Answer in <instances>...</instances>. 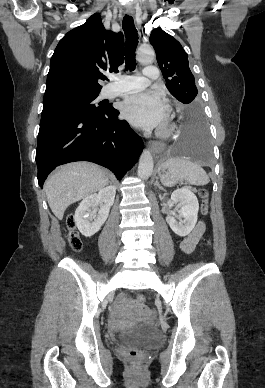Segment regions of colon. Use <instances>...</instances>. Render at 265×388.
<instances>
[{"label": "colon", "mask_w": 265, "mask_h": 388, "mask_svg": "<svg viewBox=\"0 0 265 388\" xmlns=\"http://www.w3.org/2000/svg\"><path fill=\"white\" fill-rule=\"evenodd\" d=\"M200 196L203 199V212H208V204H207V198H208V192L206 189H202L200 191ZM66 228L68 232V242L71 248L75 251H78L81 248V241L79 236L77 235L75 231V224L72 217H68L66 220ZM135 300L137 304L144 305L146 302V297L142 293H138L135 297ZM124 355L129 358L131 361L137 363L141 359V353L136 349H126L124 350Z\"/></svg>", "instance_id": "1"}]
</instances>
